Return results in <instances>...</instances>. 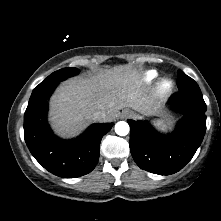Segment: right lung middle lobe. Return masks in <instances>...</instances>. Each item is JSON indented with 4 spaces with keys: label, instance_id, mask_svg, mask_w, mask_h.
<instances>
[{
    "label": "right lung middle lobe",
    "instance_id": "obj_1",
    "mask_svg": "<svg viewBox=\"0 0 221 221\" xmlns=\"http://www.w3.org/2000/svg\"><path fill=\"white\" fill-rule=\"evenodd\" d=\"M78 73L76 68H64L50 74L44 81H42L35 89L46 86L57 85L60 81ZM34 89V90H35Z\"/></svg>",
    "mask_w": 221,
    "mask_h": 221
}]
</instances>
